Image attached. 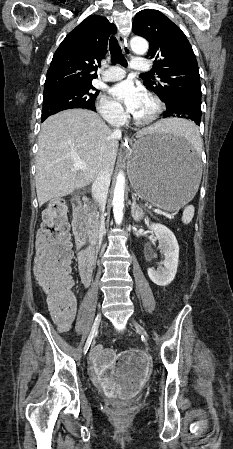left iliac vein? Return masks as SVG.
I'll return each instance as SVG.
<instances>
[{
	"label": "left iliac vein",
	"mask_w": 233,
	"mask_h": 449,
	"mask_svg": "<svg viewBox=\"0 0 233 449\" xmlns=\"http://www.w3.org/2000/svg\"><path fill=\"white\" fill-rule=\"evenodd\" d=\"M132 324L134 325V327L146 338L149 339V335L147 333V331L144 329L143 326H141L137 321L132 320Z\"/></svg>",
	"instance_id": "obj_1"
}]
</instances>
